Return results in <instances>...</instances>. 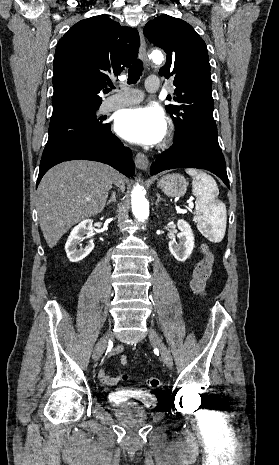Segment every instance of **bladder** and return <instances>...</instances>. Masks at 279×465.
I'll return each mask as SVG.
<instances>
[{"label": "bladder", "instance_id": "31cf9c89", "mask_svg": "<svg viewBox=\"0 0 279 465\" xmlns=\"http://www.w3.org/2000/svg\"><path fill=\"white\" fill-rule=\"evenodd\" d=\"M110 399L114 406L127 414H138L157 405L156 397L147 392L117 390L110 395Z\"/></svg>", "mask_w": 279, "mask_h": 465}]
</instances>
